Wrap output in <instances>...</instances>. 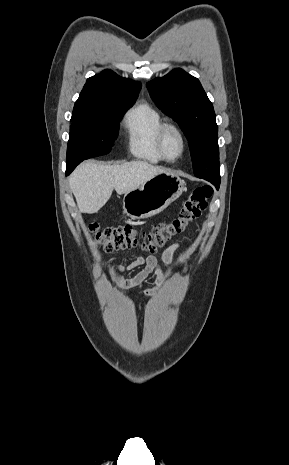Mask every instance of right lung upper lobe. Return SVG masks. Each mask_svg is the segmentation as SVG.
I'll list each match as a JSON object with an SVG mask.
<instances>
[{
    "label": "right lung upper lobe",
    "instance_id": "1",
    "mask_svg": "<svg viewBox=\"0 0 289 465\" xmlns=\"http://www.w3.org/2000/svg\"><path fill=\"white\" fill-rule=\"evenodd\" d=\"M141 83L121 78L111 70L87 79L72 113L71 120L99 119V113L108 104L136 100Z\"/></svg>",
    "mask_w": 289,
    "mask_h": 465
}]
</instances>
